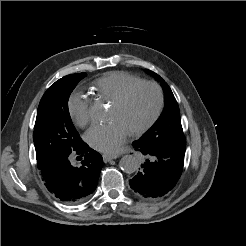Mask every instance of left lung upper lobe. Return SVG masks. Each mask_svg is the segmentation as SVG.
<instances>
[{
    "label": "left lung upper lobe",
    "mask_w": 246,
    "mask_h": 246,
    "mask_svg": "<svg viewBox=\"0 0 246 246\" xmlns=\"http://www.w3.org/2000/svg\"><path fill=\"white\" fill-rule=\"evenodd\" d=\"M147 72L161 83L165 105L158 120L138 141L144 144L186 146L178 103L170 87L158 74L150 70H147Z\"/></svg>",
    "instance_id": "obj_1"
}]
</instances>
